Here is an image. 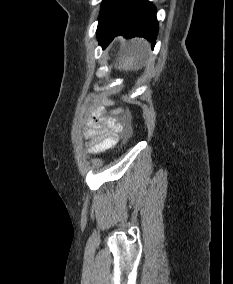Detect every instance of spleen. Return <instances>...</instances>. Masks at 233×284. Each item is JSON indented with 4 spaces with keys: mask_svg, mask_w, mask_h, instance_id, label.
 <instances>
[{
    "mask_svg": "<svg viewBox=\"0 0 233 284\" xmlns=\"http://www.w3.org/2000/svg\"><path fill=\"white\" fill-rule=\"evenodd\" d=\"M124 69V70H130L133 69V58L125 60V63H123V66L119 67V69Z\"/></svg>",
    "mask_w": 233,
    "mask_h": 284,
    "instance_id": "3e777b00",
    "label": "spleen"
}]
</instances>
